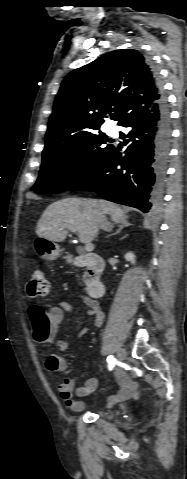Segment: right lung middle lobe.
<instances>
[{
  "mask_svg": "<svg viewBox=\"0 0 187 479\" xmlns=\"http://www.w3.org/2000/svg\"><path fill=\"white\" fill-rule=\"evenodd\" d=\"M97 131L81 134L43 151L39 178L32 187L39 193H58L73 189L109 154L112 146L103 147L106 137Z\"/></svg>",
  "mask_w": 187,
  "mask_h": 479,
  "instance_id": "right-lung-middle-lobe-1",
  "label": "right lung middle lobe"
}]
</instances>
